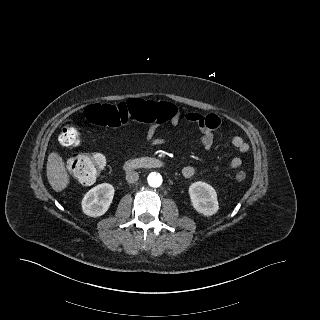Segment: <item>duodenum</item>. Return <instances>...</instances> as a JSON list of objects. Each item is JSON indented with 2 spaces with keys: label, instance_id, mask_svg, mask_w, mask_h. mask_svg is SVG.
I'll list each match as a JSON object with an SVG mask.
<instances>
[{
  "label": "duodenum",
  "instance_id": "1",
  "mask_svg": "<svg viewBox=\"0 0 320 320\" xmlns=\"http://www.w3.org/2000/svg\"><path fill=\"white\" fill-rule=\"evenodd\" d=\"M164 166L162 160L153 158V157H143V158H135L128 160L124 168L126 170L133 169H152V168H161Z\"/></svg>",
  "mask_w": 320,
  "mask_h": 320
}]
</instances>
